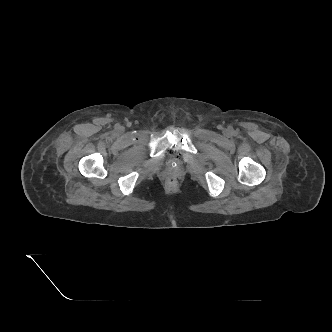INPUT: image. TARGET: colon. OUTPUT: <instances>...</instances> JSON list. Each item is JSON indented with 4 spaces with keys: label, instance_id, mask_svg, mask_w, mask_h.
<instances>
[{
    "label": "colon",
    "instance_id": "1",
    "mask_svg": "<svg viewBox=\"0 0 332 332\" xmlns=\"http://www.w3.org/2000/svg\"><path fill=\"white\" fill-rule=\"evenodd\" d=\"M166 185L169 187V188H174L176 185H177V181L174 177H169L167 180H166Z\"/></svg>",
    "mask_w": 332,
    "mask_h": 332
}]
</instances>
